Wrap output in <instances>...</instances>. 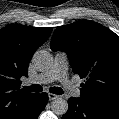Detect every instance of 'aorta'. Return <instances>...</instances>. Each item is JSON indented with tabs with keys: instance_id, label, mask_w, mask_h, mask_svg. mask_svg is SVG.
<instances>
[{
	"instance_id": "762f6f07",
	"label": "aorta",
	"mask_w": 119,
	"mask_h": 119,
	"mask_svg": "<svg viewBox=\"0 0 119 119\" xmlns=\"http://www.w3.org/2000/svg\"><path fill=\"white\" fill-rule=\"evenodd\" d=\"M32 62L38 71H46L51 68L53 57L48 51L39 50L34 53ZM51 107L56 115H63L68 111V102L63 98H56Z\"/></svg>"
}]
</instances>
